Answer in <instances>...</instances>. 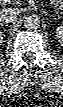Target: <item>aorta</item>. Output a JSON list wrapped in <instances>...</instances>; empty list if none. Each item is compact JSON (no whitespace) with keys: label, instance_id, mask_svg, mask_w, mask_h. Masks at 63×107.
Instances as JSON below:
<instances>
[{"label":"aorta","instance_id":"aorta-1","mask_svg":"<svg viewBox=\"0 0 63 107\" xmlns=\"http://www.w3.org/2000/svg\"><path fill=\"white\" fill-rule=\"evenodd\" d=\"M40 25V18L36 14H28L24 17V26L27 29H36Z\"/></svg>","mask_w":63,"mask_h":107}]
</instances>
